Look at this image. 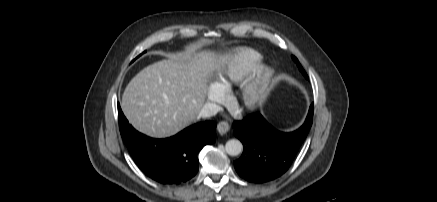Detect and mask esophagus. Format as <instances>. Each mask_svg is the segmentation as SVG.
<instances>
[{
    "mask_svg": "<svg viewBox=\"0 0 437 202\" xmlns=\"http://www.w3.org/2000/svg\"><path fill=\"white\" fill-rule=\"evenodd\" d=\"M230 129L229 123L227 121H220L217 125V130L221 135L226 134Z\"/></svg>",
    "mask_w": 437,
    "mask_h": 202,
    "instance_id": "34e87169",
    "label": "esophagus"
}]
</instances>
